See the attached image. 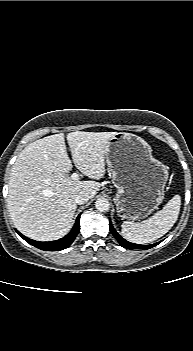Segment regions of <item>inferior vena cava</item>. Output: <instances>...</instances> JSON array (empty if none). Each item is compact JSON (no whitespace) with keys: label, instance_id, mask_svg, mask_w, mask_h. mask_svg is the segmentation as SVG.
<instances>
[{"label":"inferior vena cava","instance_id":"inferior-vena-cava-1","mask_svg":"<svg viewBox=\"0 0 193 351\" xmlns=\"http://www.w3.org/2000/svg\"><path fill=\"white\" fill-rule=\"evenodd\" d=\"M89 194L86 192H80L76 198H75V202L78 205H82L85 204L88 200H89Z\"/></svg>","mask_w":193,"mask_h":351}]
</instances>
